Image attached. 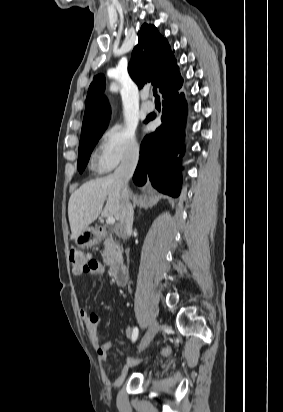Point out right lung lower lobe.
I'll list each match as a JSON object with an SVG mask.
<instances>
[{"instance_id":"obj_1","label":"right lung lower lobe","mask_w":283,"mask_h":412,"mask_svg":"<svg viewBox=\"0 0 283 412\" xmlns=\"http://www.w3.org/2000/svg\"><path fill=\"white\" fill-rule=\"evenodd\" d=\"M182 83L181 79L162 92V125L142 141L140 160L133 177L137 185H143L148 176L157 190L173 197L179 195L181 188L180 159L176 156L185 152L187 103L184 94L179 93ZM148 121L147 118L145 122Z\"/></svg>"}]
</instances>
